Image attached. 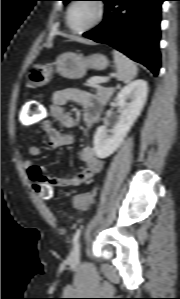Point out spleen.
Wrapping results in <instances>:
<instances>
[{"instance_id": "1", "label": "spleen", "mask_w": 180, "mask_h": 299, "mask_svg": "<svg viewBox=\"0 0 180 299\" xmlns=\"http://www.w3.org/2000/svg\"><path fill=\"white\" fill-rule=\"evenodd\" d=\"M116 67L117 78L125 84L130 83L137 75L136 64L119 51L112 52Z\"/></svg>"}]
</instances>
